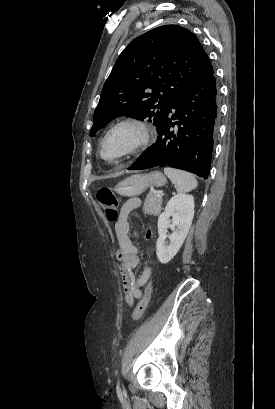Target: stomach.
Instances as JSON below:
<instances>
[{
    "label": "stomach",
    "instance_id": "1",
    "mask_svg": "<svg viewBox=\"0 0 275 409\" xmlns=\"http://www.w3.org/2000/svg\"><path fill=\"white\" fill-rule=\"evenodd\" d=\"M166 182V176L154 170L149 174H131L125 180H121L115 186L116 192L121 196H138L146 190L147 186H163Z\"/></svg>",
    "mask_w": 275,
    "mask_h": 409
}]
</instances>
